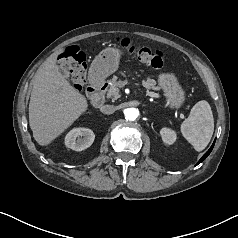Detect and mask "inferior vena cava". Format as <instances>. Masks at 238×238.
Returning <instances> with one entry per match:
<instances>
[{
  "instance_id": "obj_1",
  "label": "inferior vena cava",
  "mask_w": 238,
  "mask_h": 238,
  "mask_svg": "<svg viewBox=\"0 0 238 238\" xmlns=\"http://www.w3.org/2000/svg\"><path fill=\"white\" fill-rule=\"evenodd\" d=\"M116 110L114 105H104L100 108V111L104 114H113Z\"/></svg>"
}]
</instances>
